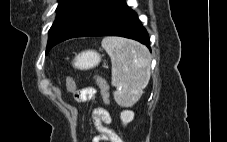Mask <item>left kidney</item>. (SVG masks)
<instances>
[{
    "mask_svg": "<svg viewBox=\"0 0 227 142\" xmlns=\"http://www.w3.org/2000/svg\"><path fill=\"white\" fill-rule=\"evenodd\" d=\"M120 118L123 124L126 125L133 120L134 112L131 110H124L121 112Z\"/></svg>",
    "mask_w": 227,
    "mask_h": 142,
    "instance_id": "5707ae66",
    "label": "left kidney"
}]
</instances>
